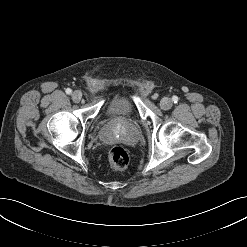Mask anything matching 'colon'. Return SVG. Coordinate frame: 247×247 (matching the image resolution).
Wrapping results in <instances>:
<instances>
[{
	"mask_svg": "<svg viewBox=\"0 0 247 247\" xmlns=\"http://www.w3.org/2000/svg\"><path fill=\"white\" fill-rule=\"evenodd\" d=\"M111 165L116 169H124L129 164V154L121 146H114L110 149L108 154Z\"/></svg>",
	"mask_w": 247,
	"mask_h": 247,
	"instance_id": "colon-1",
	"label": "colon"
}]
</instances>
